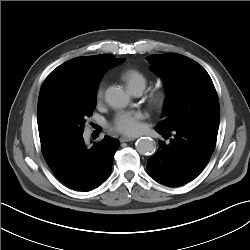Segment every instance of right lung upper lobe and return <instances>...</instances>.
I'll return each instance as SVG.
<instances>
[{"label":"right lung upper lobe","mask_w":250,"mask_h":250,"mask_svg":"<svg viewBox=\"0 0 250 250\" xmlns=\"http://www.w3.org/2000/svg\"><path fill=\"white\" fill-rule=\"evenodd\" d=\"M110 54L71 59L54 69L45 79L39 94L37 119L39 133L45 121L70 96L98 88L103 74L123 62Z\"/></svg>","instance_id":"obj_1"}]
</instances>
